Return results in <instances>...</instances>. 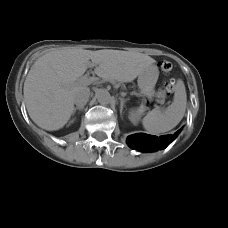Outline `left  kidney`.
<instances>
[{"label": "left kidney", "mask_w": 228, "mask_h": 228, "mask_svg": "<svg viewBox=\"0 0 228 228\" xmlns=\"http://www.w3.org/2000/svg\"><path fill=\"white\" fill-rule=\"evenodd\" d=\"M140 117H141V113L140 111H135V110H132L130 112V115H129V119L130 121L134 124V125H137L139 120H140Z\"/></svg>", "instance_id": "5707ae66"}]
</instances>
